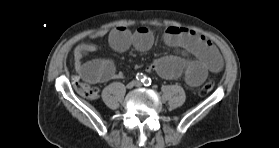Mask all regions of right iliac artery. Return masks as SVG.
<instances>
[{"instance_id": "obj_1", "label": "right iliac artery", "mask_w": 279, "mask_h": 148, "mask_svg": "<svg viewBox=\"0 0 279 148\" xmlns=\"http://www.w3.org/2000/svg\"><path fill=\"white\" fill-rule=\"evenodd\" d=\"M136 79L140 82H144L146 79V76L143 73H137L136 74Z\"/></svg>"}]
</instances>
